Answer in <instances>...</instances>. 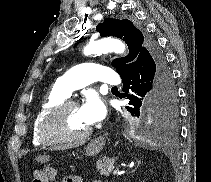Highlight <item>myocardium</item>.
<instances>
[{"label":"myocardium","instance_id":"f54148a6","mask_svg":"<svg viewBox=\"0 0 211 182\" xmlns=\"http://www.w3.org/2000/svg\"><path fill=\"white\" fill-rule=\"evenodd\" d=\"M69 107H78V105L72 100H63L43 119L39 129V135L45 144L79 143L87 140L91 135V127L78 136L63 135L59 132L58 121Z\"/></svg>","mask_w":211,"mask_h":182}]
</instances>
